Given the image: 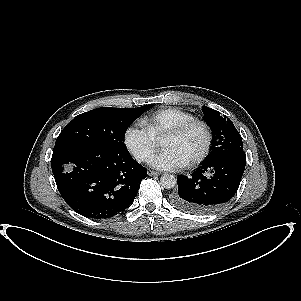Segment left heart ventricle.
Here are the masks:
<instances>
[{
    "mask_svg": "<svg viewBox=\"0 0 301 301\" xmlns=\"http://www.w3.org/2000/svg\"><path fill=\"white\" fill-rule=\"evenodd\" d=\"M204 132L199 126H192L179 136L169 137L163 141V147L170 149L189 161L203 147Z\"/></svg>",
    "mask_w": 301,
    "mask_h": 301,
    "instance_id": "b2bd125f",
    "label": "left heart ventricle"
}]
</instances>
